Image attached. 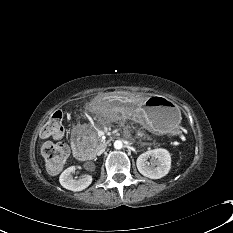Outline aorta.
I'll use <instances>...</instances> for the list:
<instances>
[{
  "mask_svg": "<svg viewBox=\"0 0 233 233\" xmlns=\"http://www.w3.org/2000/svg\"><path fill=\"white\" fill-rule=\"evenodd\" d=\"M122 147H123V143H122L121 140H116V141L114 142V148H115V149H122Z\"/></svg>",
  "mask_w": 233,
  "mask_h": 233,
  "instance_id": "1",
  "label": "aorta"
}]
</instances>
